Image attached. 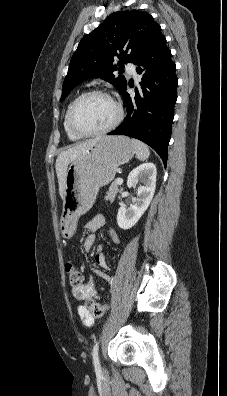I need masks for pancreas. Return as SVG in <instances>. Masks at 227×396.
I'll use <instances>...</instances> for the list:
<instances>
[{
	"mask_svg": "<svg viewBox=\"0 0 227 396\" xmlns=\"http://www.w3.org/2000/svg\"><path fill=\"white\" fill-rule=\"evenodd\" d=\"M117 192H118V185H117L116 181H114L109 187L107 195L105 196V200H109V201L113 202L116 197Z\"/></svg>",
	"mask_w": 227,
	"mask_h": 396,
	"instance_id": "1",
	"label": "pancreas"
}]
</instances>
